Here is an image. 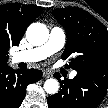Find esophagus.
<instances>
[{"mask_svg": "<svg viewBox=\"0 0 108 108\" xmlns=\"http://www.w3.org/2000/svg\"><path fill=\"white\" fill-rule=\"evenodd\" d=\"M51 76H52V73L51 72H49V71H44L43 72V77L49 78Z\"/></svg>", "mask_w": 108, "mask_h": 108, "instance_id": "34e87169", "label": "esophagus"}]
</instances>
